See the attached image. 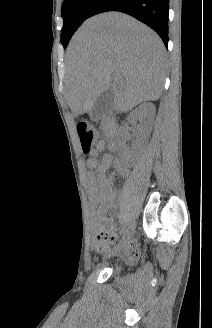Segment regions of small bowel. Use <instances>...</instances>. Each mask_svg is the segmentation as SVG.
<instances>
[{"label": "small bowel", "mask_w": 212, "mask_h": 328, "mask_svg": "<svg viewBox=\"0 0 212 328\" xmlns=\"http://www.w3.org/2000/svg\"><path fill=\"white\" fill-rule=\"evenodd\" d=\"M106 147V142L100 141L97 145V151H103ZM87 166L95 169V173L89 175L90 199L94 205H98L94 222L96 227H100V222L104 216L116 211L120 203V195L112 184V177H108L106 172L111 166H114L116 174L124 177L128 174V169L110 154H105L100 162L95 157L89 158ZM94 245H96L95 242ZM129 252L135 256L137 246L133 243L130 244Z\"/></svg>", "instance_id": "obj_1"}]
</instances>
